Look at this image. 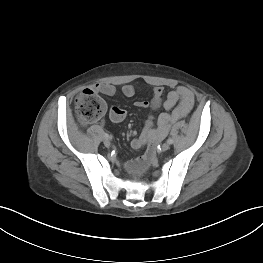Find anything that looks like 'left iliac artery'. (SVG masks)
I'll use <instances>...</instances> for the list:
<instances>
[{
	"mask_svg": "<svg viewBox=\"0 0 263 263\" xmlns=\"http://www.w3.org/2000/svg\"><path fill=\"white\" fill-rule=\"evenodd\" d=\"M167 142H168L169 144H172V143H173V139H172V138H169V139L167 140Z\"/></svg>",
	"mask_w": 263,
	"mask_h": 263,
	"instance_id": "1",
	"label": "left iliac artery"
}]
</instances>
